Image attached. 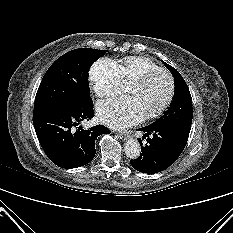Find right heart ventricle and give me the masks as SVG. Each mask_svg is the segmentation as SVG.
Masks as SVG:
<instances>
[{
	"label": "right heart ventricle",
	"mask_w": 233,
	"mask_h": 233,
	"mask_svg": "<svg viewBox=\"0 0 233 233\" xmlns=\"http://www.w3.org/2000/svg\"><path fill=\"white\" fill-rule=\"evenodd\" d=\"M121 79L132 80L144 72L159 68L150 58L145 56H129L117 64Z\"/></svg>",
	"instance_id": "obj_1"
}]
</instances>
